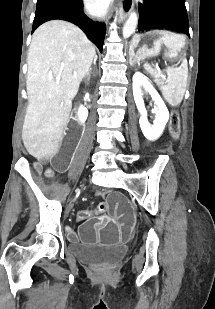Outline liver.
<instances>
[{"label": "liver", "mask_w": 215, "mask_h": 309, "mask_svg": "<svg viewBox=\"0 0 215 309\" xmlns=\"http://www.w3.org/2000/svg\"><path fill=\"white\" fill-rule=\"evenodd\" d=\"M94 54L93 42L72 22L48 20L36 28L28 50L29 104L22 126L24 146L33 157L49 159L58 152L72 98Z\"/></svg>", "instance_id": "6515ba94"}]
</instances>
